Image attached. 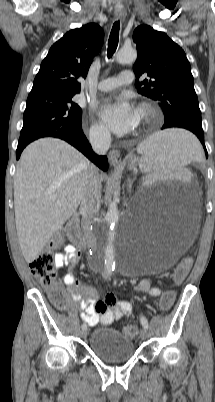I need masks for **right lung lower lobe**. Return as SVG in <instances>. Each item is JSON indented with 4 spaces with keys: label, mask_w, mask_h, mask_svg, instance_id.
Listing matches in <instances>:
<instances>
[{
    "label": "right lung lower lobe",
    "mask_w": 215,
    "mask_h": 402,
    "mask_svg": "<svg viewBox=\"0 0 215 402\" xmlns=\"http://www.w3.org/2000/svg\"><path fill=\"white\" fill-rule=\"evenodd\" d=\"M41 137H55V138H60L68 143H70L72 146L76 147L79 151H81L87 158H89L93 163H95L99 168L102 170L106 171L108 169V161L106 156H98L96 155L92 148L91 145L89 144L87 138L83 134L82 128L78 127L76 129L72 130H64V131H58L55 133H49L47 135L41 136ZM39 137V138H41ZM29 144V143H28ZM27 144L25 145H18L17 150H16V159L18 160L21 152L25 148Z\"/></svg>",
    "instance_id": "obj_1"
}]
</instances>
